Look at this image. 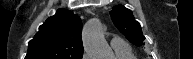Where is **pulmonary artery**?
I'll list each match as a JSON object with an SVG mask.
<instances>
[{
    "label": "pulmonary artery",
    "mask_w": 193,
    "mask_h": 59,
    "mask_svg": "<svg viewBox=\"0 0 193 59\" xmlns=\"http://www.w3.org/2000/svg\"><path fill=\"white\" fill-rule=\"evenodd\" d=\"M111 46L115 51L125 50L130 48L127 43H125L119 36H113L111 40Z\"/></svg>",
    "instance_id": "e3ab8cb5"
}]
</instances>
